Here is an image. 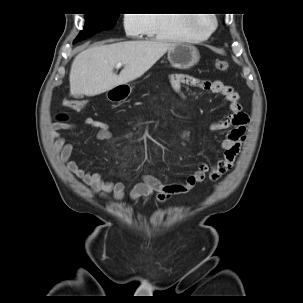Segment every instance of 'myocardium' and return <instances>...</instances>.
Here are the masks:
<instances>
[{
    "label": "myocardium",
    "instance_id": "f54148a6",
    "mask_svg": "<svg viewBox=\"0 0 303 303\" xmlns=\"http://www.w3.org/2000/svg\"><path fill=\"white\" fill-rule=\"evenodd\" d=\"M208 17L212 21V26L208 31L203 32L196 28V25L200 20L199 17L189 16V23H190L191 29L193 30V32L196 35V39L208 38L215 32L217 25H218V19L213 14L209 15Z\"/></svg>",
    "mask_w": 303,
    "mask_h": 303
}]
</instances>
